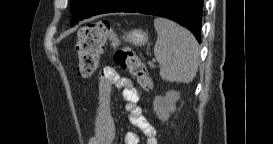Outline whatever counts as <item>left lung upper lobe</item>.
<instances>
[{"mask_svg": "<svg viewBox=\"0 0 273 144\" xmlns=\"http://www.w3.org/2000/svg\"><path fill=\"white\" fill-rule=\"evenodd\" d=\"M85 1L86 0H71L70 9L72 16L79 12L82 13L85 10L90 9L96 0H88L87 3H85Z\"/></svg>", "mask_w": 273, "mask_h": 144, "instance_id": "5c2ea615", "label": "left lung upper lobe"}]
</instances>
